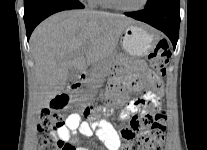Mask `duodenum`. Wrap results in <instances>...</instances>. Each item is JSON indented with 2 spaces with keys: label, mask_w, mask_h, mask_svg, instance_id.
<instances>
[{
  "label": "duodenum",
  "mask_w": 207,
  "mask_h": 150,
  "mask_svg": "<svg viewBox=\"0 0 207 150\" xmlns=\"http://www.w3.org/2000/svg\"><path fill=\"white\" fill-rule=\"evenodd\" d=\"M86 79H87V76L85 74L81 75L77 81L72 83L71 85L72 88L73 89L79 88L85 82Z\"/></svg>",
  "instance_id": "obj_1"
}]
</instances>
